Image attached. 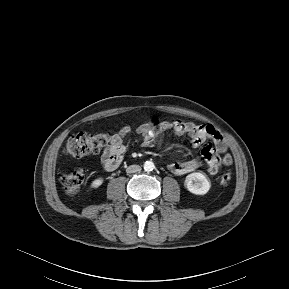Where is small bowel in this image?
Instances as JSON below:
<instances>
[{"label":"small bowel","mask_w":289,"mask_h":289,"mask_svg":"<svg viewBox=\"0 0 289 289\" xmlns=\"http://www.w3.org/2000/svg\"><path fill=\"white\" fill-rule=\"evenodd\" d=\"M160 125V121L151 120L138 126L137 132L144 136V146L152 145L153 134ZM171 128L176 138L188 136L191 139V148L202 149L200 158L171 162L168 168L172 173L177 175L186 174L205 163L209 175L214 176L221 166L232 164V157L228 153L225 140L212 126L175 119L171 122ZM130 133L131 128L129 126H122L117 133L110 137L109 144L101 155V164L104 170L113 171L120 165L126 152L124 141ZM207 140H211L213 146H204Z\"/></svg>","instance_id":"c3829d8e"}]
</instances>
